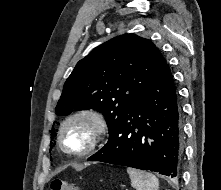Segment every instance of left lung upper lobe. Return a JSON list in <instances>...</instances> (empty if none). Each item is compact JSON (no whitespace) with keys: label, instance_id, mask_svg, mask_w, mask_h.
Masks as SVG:
<instances>
[{"label":"left lung upper lobe","instance_id":"5c2ea615","mask_svg":"<svg viewBox=\"0 0 221 190\" xmlns=\"http://www.w3.org/2000/svg\"><path fill=\"white\" fill-rule=\"evenodd\" d=\"M165 65L161 52L148 39L135 34L115 37L77 63L64 84L56 114L95 109L106 117L110 130Z\"/></svg>","mask_w":221,"mask_h":190}]
</instances>
